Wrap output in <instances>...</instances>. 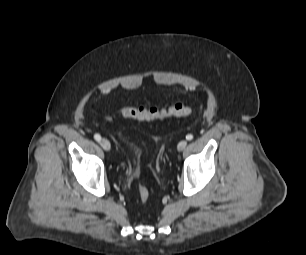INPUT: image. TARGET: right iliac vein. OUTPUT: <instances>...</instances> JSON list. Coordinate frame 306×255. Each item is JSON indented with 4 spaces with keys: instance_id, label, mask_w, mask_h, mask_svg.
Here are the masks:
<instances>
[{
    "instance_id": "1",
    "label": "right iliac vein",
    "mask_w": 306,
    "mask_h": 255,
    "mask_svg": "<svg viewBox=\"0 0 306 255\" xmlns=\"http://www.w3.org/2000/svg\"><path fill=\"white\" fill-rule=\"evenodd\" d=\"M100 145L105 151H109L111 148L110 142L105 138L100 140Z\"/></svg>"
}]
</instances>
